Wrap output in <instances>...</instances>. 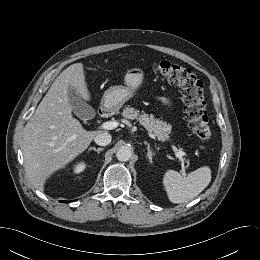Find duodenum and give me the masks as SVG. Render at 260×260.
<instances>
[{
	"instance_id": "1",
	"label": "duodenum",
	"mask_w": 260,
	"mask_h": 260,
	"mask_svg": "<svg viewBox=\"0 0 260 260\" xmlns=\"http://www.w3.org/2000/svg\"><path fill=\"white\" fill-rule=\"evenodd\" d=\"M108 110H109L108 106L104 105V106H102V107L99 108L98 114H99L101 117H104V116L107 115Z\"/></svg>"
}]
</instances>
